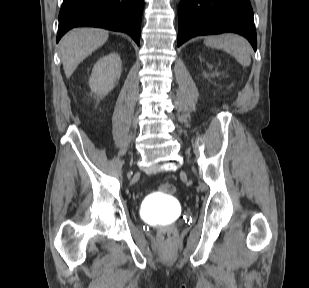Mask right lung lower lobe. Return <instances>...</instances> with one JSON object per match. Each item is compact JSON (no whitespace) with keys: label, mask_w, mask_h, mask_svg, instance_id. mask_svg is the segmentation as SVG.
<instances>
[{"label":"right lung lower lobe","mask_w":309,"mask_h":288,"mask_svg":"<svg viewBox=\"0 0 309 288\" xmlns=\"http://www.w3.org/2000/svg\"><path fill=\"white\" fill-rule=\"evenodd\" d=\"M144 0H63L56 41L71 28L100 27L125 32L139 45Z\"/></svg>","instance_id":"98d812e1"}]
</instances>
